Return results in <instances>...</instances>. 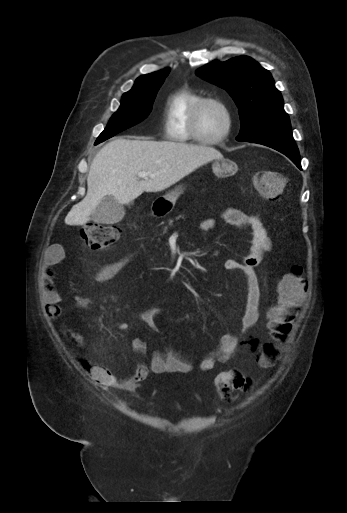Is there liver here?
<instances>
[{
    "instance_id": "obj_1",
    "label": "liver",
    "mask_w": 347,
    "mask_h": 513,
    "mask_svg": "<svg viewBox=\"0 0 347 513\" xmlns=\"http://www.w3.org/2000/svg\"><path fill=\"white\" fill-rule=\"evenodd\" d=\"M213 147L169 141L115 139L96 154L87 177V194L65 217L67 225H84L105 196L128 204L143 192H159L201 165L221 159ZM154 174L145 180L138 173Z\"/></svg>"
}]
</instances>
